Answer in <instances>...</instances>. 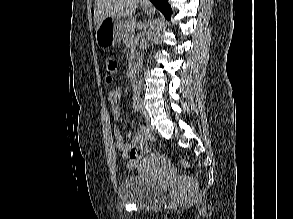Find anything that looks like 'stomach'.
<instances>
[{"label": "stomach", "instance_id": "1", "mask_svg": "<svg viewBox=\"0 0 293 219\" xmlns=\"http://www.w3.org/2000/svg\"><path fill=\"white\" fill-rule=\"evenodd\" d=\"M142 9L146 13L152 12L149 4H142ZM123 31L124 23L120 17H107L96 31V43L102 48H111L121 41Z\"/></svg>", "mask_w": 293, "mask_h": 219}]
</instances>
